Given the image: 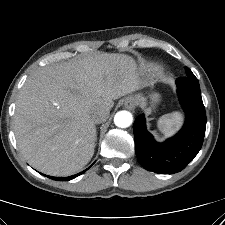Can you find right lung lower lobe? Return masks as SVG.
<instances>
[{
	"label": "right lung lower lobe",
	"instance_id": "obj_1",
	"mask_svg": "<svg viewBox=\"0 0 225 225\" xmlns=\"http://www.w3.org/2000/svg\"><path fill=\"white\" fill-rule=\"evenodd\" d=\"M87 170V169H86ZM86 170H84V171H82V172H80V173H78V174H76V175H73V176H69V177H49V178H51V179H53V180H57V181H69V180H71V179H73V178H75V177H77V176H79V175H81L82 173H84Z\"/></svg>",
	"mask_w": 225,
	"mask_h": 225
}]
</instances>
